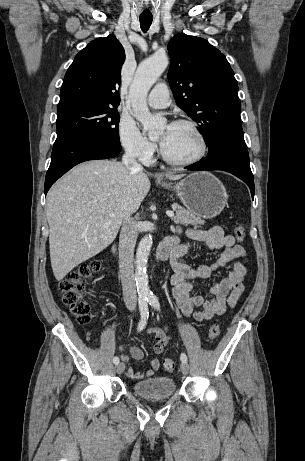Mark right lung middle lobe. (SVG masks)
Masks as SVG:
<instances>
[{"instance_id": "right-lung-middle-lobe-1", "label": "right lung middle lobe", "mask_w": 305, "mask_h": 461, "mask_svg": "<svg viewBox=\"0 0 305 461\" xmlns=\"http://www.w3.org/2000/svg\"><path fill=\"white\" fill-rule=\"evenodd\" d=\"M56 141L92 137L121 147L117 106L76 103L57 108Z\"/></svg>"}]
</instances>
